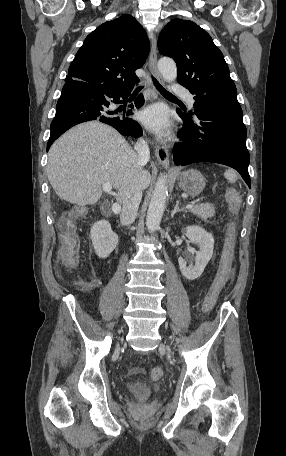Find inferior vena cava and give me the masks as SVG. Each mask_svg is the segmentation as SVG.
<instances>
[{
	"label": "inferior vena cava",
	"mask_w": 286,
	"mask_h": 456,
	"mask_svg": "<svg viewBox=\"0 0 286 456\" xmlns=\"http://www.w3.org/2000/svg\"><path fill=\"white\" fill-rule=\"evenodd\" d=\"M135 150L139 157V165L143 166L150 157L149 147L144 139H139L135 145ZM142 198V185L136 180L127 193L120 214V220L124 225L132 224L137 216L139 204Z\"/></svg>",
	"instance_id": "602c4592"
}]
</instances>
